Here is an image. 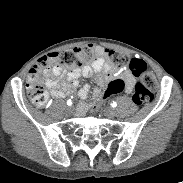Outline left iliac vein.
I'll return each mask as SVG.
<instances>
[{"mask_svg":"<svg viewBox=\"0 0 183 183\" xmlns=\"http://www.w3.org/2000/svg\"><path fill=\"white\" fill-rule=\"evenodd\" d=\"M104 114L108 118H113V117H116L118 115V111L114 108H106V109H104Z\"/></svg>","mask_w":183,"mask_h":183,"instance_id":"4c4485c4","label":"left iliac vein"}]
</instances>
